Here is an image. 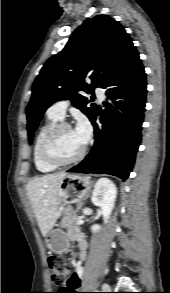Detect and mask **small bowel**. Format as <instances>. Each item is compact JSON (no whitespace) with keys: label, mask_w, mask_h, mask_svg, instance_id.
Here are the masks:
<instances>
[{"label":"small bowel","mask_w":170,"mask_h":293,"mask_svg":"<svg viewBox=\"0 0 170 293\" xmlns=\"http://www.w3.org/2000/svg\"><path fill=\"white\" fill-rule=\"evenodd\" d=\"M70 238L72 240H75L78 243L79 249H80V255H79L80 262L76 267V273H75V277H74L75 282H73V286L78 288V287H80L79 281L81 280L82 275H83V270H84L83 261L86 258L87 243L85 241L83 234L77 230L70 232Z\"/></svg>","instance_id":"obj_1"}]
</instances>
